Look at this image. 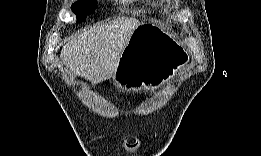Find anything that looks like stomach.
<instances>
[{
	"label": "stomach",
	"mask_w": 261,
	"mask_h": 156,
	"mask_svg": "<svg viewBox=\"0 0 261 156\" xmlns=\"http://www.w3.org/2000/svg\"><path fill=\"white\" fill-rule=\"evenodd\" d=\"M186 59L168 33L142 23L132 32L113 80L124 91L154 90L168 82Z\"/></svg>",
	"instance_id": "stomach-1"
}]
</instances>
